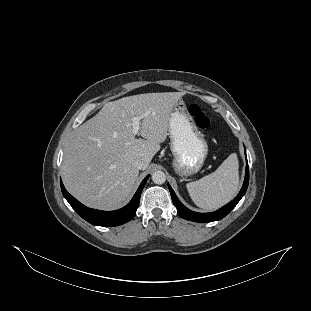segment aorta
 <instances>
[{"label":"aorta","mask_w":311,"mask_h":311,"mask_svg":"<svg viewBox=\"0 0 311 311\" xmlns=\"http://www.w3.org/2000/svg\"><path fill=\"white\" fill-rule=\"evenodd\" d=\"M152 181L155 184L161 185L166 181V174L161 170H157L154 173H152Z\"/></svg>","instance_id":"762f6f07"}]
</instances>
